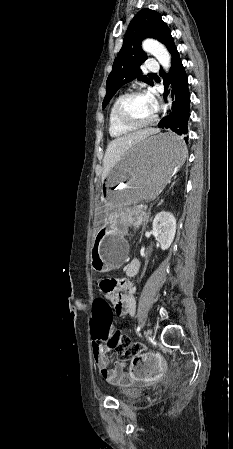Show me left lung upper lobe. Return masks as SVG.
<instances>
[{"instance_id": "left-lung-upper-lobe-1", "label": "left lung upper lobe", "mask_w": 233, "mask_h": 449, "mask_svg": "<svg viewBox=\"0 0 233 449\" xmlns=\"http://www.w3.org/2000/svg\"><path fill=\"white\" fill-rule=\"evenodd\" d=\"M145 38L157 39L170 53L176 48L171 31L161 15L151 9L140 10L128 26L122 48L107 78L103 108L123 84L134 78L153 85L147 76L140 75V65L147 59L141 48V42Z\"/></svg>"}]
</instances>
